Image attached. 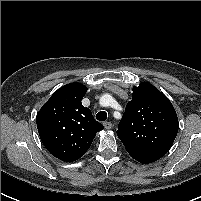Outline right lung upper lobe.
I'll use <instances>...</instances> for the list:
<instances>
[{
    "instance_id": "cb5924a9",
    "label": "right lung upper lobe",
    "mask_w": 201,
    "mask_h": 201,
    "mask_svg": "<svg viewBox=\"0 0 201 201\" xmlns=\"http://www.w3.org/2000/svg\"><path fill=\"white\" fill-rule=\"evenodd\" d=\"M86 92L83 84H67L53 93L37 113V128L44 146L66 162L81 158L95 134L104 128L82 105Z\"/></svg>"
}]
</instances>
